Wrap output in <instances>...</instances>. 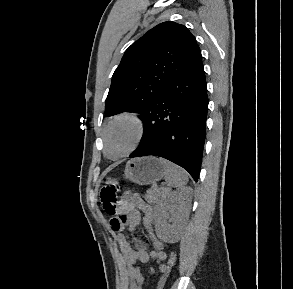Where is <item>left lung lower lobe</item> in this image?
<instances>
[{"mask_svg": "<svg viewBox=\"0 0 293 289\" xmlns=\"http://www.w3.org/2000/svg\"><path fill=\"white\" fill-rule=\"evenodd\" d=\"M208 97L200 55L140 118L144 134L130 158L154 155L186 169L197 182L205 142Z\"/></svg>", "mask_w": 293, "mask_h": 289, "instance_id": "1", "label": "left lung lower lobe"}]
</instances>
